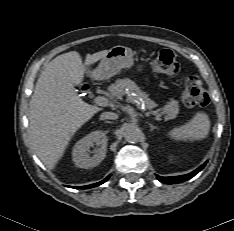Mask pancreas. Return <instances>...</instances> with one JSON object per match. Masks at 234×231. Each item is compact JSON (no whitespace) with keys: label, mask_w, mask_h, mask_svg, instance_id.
I'll list each match as a JSON object with an SVG mask.
<instances>
[{"label":"pancreas","mask_w":234,"mask_h":231,"mask_svg":"<svg viewBox=\"0 0 234 231\" xmlns=\"http://www.w3.org/2000/svg\"><path fill=\"white\" fill-rule=\"evenodd\" d=\"M126 89H129L130 93L136 94L135 96L128 95L130 101L142 99L146 105V108L149 110L157 107V104L150 98H148V95L142 92V90H140V88L135 84V82H133L130 79H119L114 84H111L108 87L109 95L117 99H121L126 94ZM178 113V102L175 100L168 102V104L162 108L161 112V114H165L166 120L176 118Z\"/></svg>","instance_id":"cf45deb5"}]
</instances>
